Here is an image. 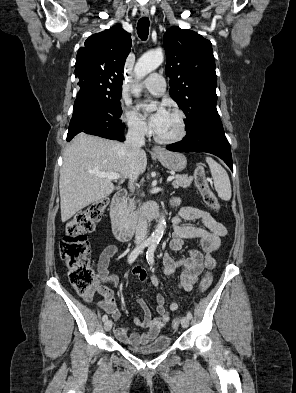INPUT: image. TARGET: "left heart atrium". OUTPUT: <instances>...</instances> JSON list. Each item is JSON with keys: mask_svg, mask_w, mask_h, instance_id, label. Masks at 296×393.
I'll use <instances>...</instances> for the list:
<instances>
[{"mask_svg": "<svg viewBox=\"0 0 296 393\" xmlns=\"http://www.w3.org/2000/svg\"><path fill=\"white\" fill-rule=\"evenodd\" d=\"M147 106H148L147 104H142L141 108H146ZM167 114L168 111L165 109L163 105H159L155 108V111L150 121V124L155 131L160 127L161 123L163 122Z\"/></svg>", "mask_w": 296, "mask_h": 393, "instance_id": "39dd6f15", "label": "left heart atrium"}]
</instances>
